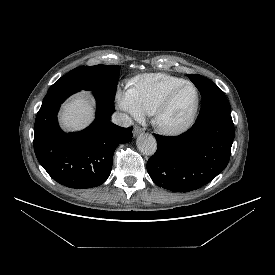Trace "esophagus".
Segmentation results:
<instances>
[{
  "label": "esophagus",
  "instance_id": "obj_1",
  "mask_svg": "<svg viewBox=\"0 0 275 275\" xmlns=\"http://www.w3.org/2000/svg\"><path fill=\"white\" fill-rule=\"evenodd\" d=\"M142 132V129L139 126H135L134 130H133V135L137 136L138 134H140Z\"/></svg>",
  "mask_w": 275,
  "mask_h": 275
}]
</instances>
